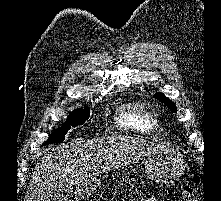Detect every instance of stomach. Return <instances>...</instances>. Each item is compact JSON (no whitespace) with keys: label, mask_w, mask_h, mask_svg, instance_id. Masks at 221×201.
Masks as SVG:
<instances>
[{"label":"stomach","mask_w":221,"mask_h":201,"mask_svg":"<svg viewBox=\"0 0 221 201\" xmlns=\"http://www.w3.org/2000/svg\"><path fill=\"white\" fill-rule=\"evenodd\" d=\"M185 162L181 153L175 149L158 151L147 157L145 172L151 180L158 183H172L184 172ZM98 182L84 187L78 192L80 198H85L97 187ZM83 188V187H81Z\"/></svg>","instance_id":"0dacf381"}]
</instances>
